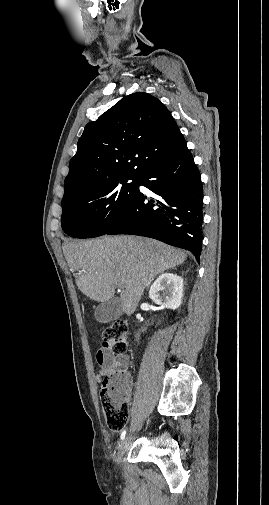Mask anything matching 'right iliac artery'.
<instances>
[{"mask_svg": "<svg viewBox=\"0 0 269 505\" xmlns=\"http://www.w3.org/2000/svg\"><path fill=\"white\" fill-rule=\"evenodd\" d=\"M125 435H126V430H124L122 433H121V436H120V439L123 440L125 438Z\"/></svg>", "mask_w": 269, "mask_h": 505, "instance_id": "82829eb1", "label": "right iliac artery"}]
</instances>
